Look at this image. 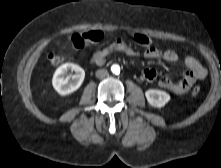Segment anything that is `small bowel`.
Masks as SVG:
<instances>
[{"label":"small bowel","instance_id":"c3829d8e","mask_svg":"<svg viewBox=\"0 0 221 168\" xmlns=\"http://www.w3.org/2000/svg\"><path fill=\"white\" fill-rule=\"evenodd\" d=\"M112 53H122L124 55L133 57L137 56L138 52L123 40H116L102 49L97 50L93 56L92 61L98 65L105 63L107 57ZM147 58L157 59L161 58L167 62H176L178 54L171 49L160 50L155 47H148L144 53ZM184 65L187 68L183 79L173 81L169 77H162L158 84L161 88L168 90L174 95H183L190 90L197 80H202L206 77L207 71L202 64L192 56L183 58ZM141 77L146 82H153L157 78V73L152 68L144 69L141 72Z\"/></svg>","mask_w":221,"mask_h":168}]
</instances>
